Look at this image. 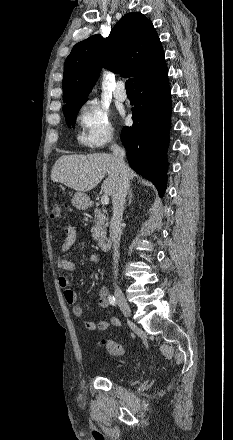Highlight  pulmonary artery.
<instances>
[{
  "instance_id": "obj_1",
  "label": "pulmonary artery",
  "mask_w": 233,
  "mask_h": 440,
  "mask_svg": "<svg viewBox=\"0 0 233 440\" xmlns=\"http://www.w3.org/2000/svg\"><path fill=\"white\" fill-rule=\"evenodd\" d=\"M114 97L118 100V101H125L127 99V94L125 93V91L123 90V84L122 82H118L116 84V87L114 89Z\"/></svg>"
}]
</instances>
